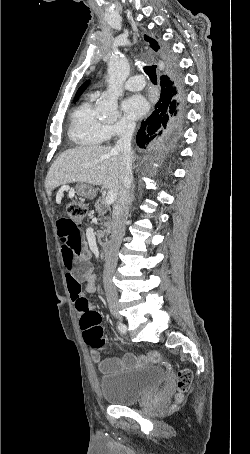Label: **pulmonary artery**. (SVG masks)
<instances>
[{
    "label": "pulmonary artery",
    "mask_w": 250,
    "mask_h": 454,
    "mask_svg": "<svg viewBox=\"0 0 250 454\" xmlns=\"http://www.w3.org/2000/svg\"><path fill=\"white\" fill-rule=\"evenodd\" d=\"M144 86H145L144 79L140 75L130 77L124 84V88L129 91H138L143 89ZM101 93L102 91L98 90L92 96L96 98L100 96Z\"/></svg>",
    "instance_id": "obj_1"
}]
</instances>
